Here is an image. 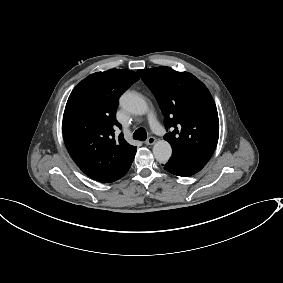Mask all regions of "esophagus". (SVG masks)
<instances>
[{
  "label": "esophagus",
  "instance_id": "1",
  "mask_svg": "<svg viewBox=\"0 0 283 283\" xmlns=\"http://www.w3.org/2000/svg\"><path fill=\"white\" fill-rule=\"evenodd\" d=\"M155 142H156V138H154V137H149V138L145 141V144H146V145H153V144H155Z\"/></svg>",
  "mask_w": 283,
  "mask_h": 283
}]
</instances>
